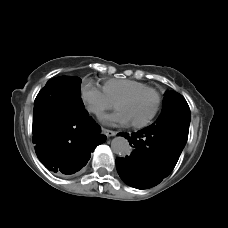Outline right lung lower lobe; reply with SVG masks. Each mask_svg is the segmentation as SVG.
Instances as JSON below:
<instances>
[{"label":"right lung lower lobe","instance_id":"obj_1","mask_svg":"<svg viewBox=\"0 0 228 228\" xmlns=\"http://www.w3.org/2000/svg\"><path fill=\"white\" fill-rule=\"evenodd\" d=\"M99 126L82 104L59 98L56 86L45 85L34 102L33 143L38 159L55 172L72 174L86 165L103 143Z\"/></svg>","mask_w":228,"mask_h":228}]
</instances>
